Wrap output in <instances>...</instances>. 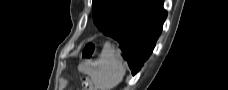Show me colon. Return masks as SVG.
I'll use <instances>...</instances> for the list:
<instances>
[{"label": "colon", "mask_w": 228, "mask_h": 90, "mask_svg": "<svg viewBox=\"0 0 228 90\" xmlns=\"http://www.w3.org/2000/svg\"><path fill=\"white\" fill-rule=\"evenodd\" d=\"M97 50V45L95 43H88L84 51L82 53V57L84 59H91ZM83 89L84 90H96V87L93 85V83L90 81L89 78H85L84 84H83Z\"/></svg>", "instance_id": "colon-1"}]
</instances>
